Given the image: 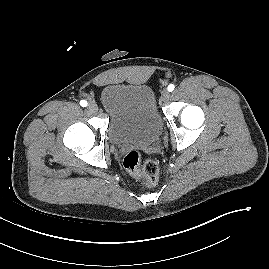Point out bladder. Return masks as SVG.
<instances>
[{"instance_id": "bladder-1", "label": "bladder", "mask_w": 269, "mask_h": 269, "mask_svg": "<svg viewBox=\"0 0 269 269\" xmlns=\"http://www.w3.org/2000/svg\"><path fill=\"white\" fill-rule=\"evenodd\" d=\"M109 116V138L116 145L149 146L162 133L152 89L144 84L106 85L100 95Z\"/></svg>"}]
</instances>
